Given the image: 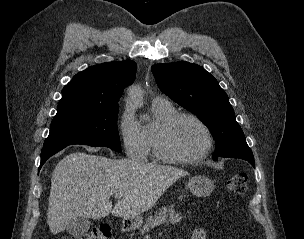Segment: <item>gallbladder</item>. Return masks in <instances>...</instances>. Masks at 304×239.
Instances as JSON below:
<instances>
[{
  "mask_svg": "<svg viewBox=\"0 0 304 239\" xmlns=\"http://www.w3.org/2000/svg\"><path fill=\"white\" fill-rule=\"evenodd\" d=\"M90 225L87 218L77 217L67 225L66 230L73 236H82L89 230Z\"/></svg>",
  "mask_w": 304,
  "mask_h": 239,
  "instance_id": "obj_1",
  "label": "gallbladder"
}]
</instances>
